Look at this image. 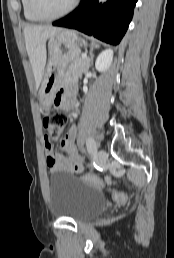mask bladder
<instances>
[{
  "label": "bladder",
  "instance_id": "31cf9c89",
  "mask_svg": "<svg viewBox=\"0 0 174 258\" xmlns=\"http://www.w3.org/2000/svg\"><path fill=\"white\" fill-rule=\"evenodd\" d=\"M107 205L96 188L64 172L49 178V208L53 215L83 222L99 215Z\"/></svg>",
  "mask_w": 174,
  "mask_h": 258
}]
</instances>
